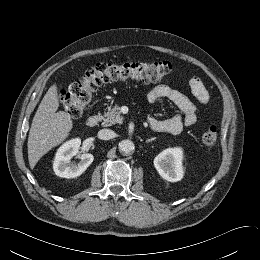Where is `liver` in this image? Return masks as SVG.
I'll return each instance as SVG.
<instances>
[{
  "label": "liver",
  "mask_w": 260,
  "mask_h": 260,
  "mask_svg": "<svg viewBox=\"0 0 260 260\" xmlns=\"http://www.w3.org/2000/svg\"><path fill=\"white\" fill-rule=\"evenodd\" d=\"M58 107V89L53 84L43 97L29 131L27 146L31 169L43 155L62 143L73 127L70 115L64 111L57 112Z\"/></svg>",
  "instance_id": "liver-1"
}]
</instances>
